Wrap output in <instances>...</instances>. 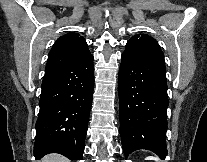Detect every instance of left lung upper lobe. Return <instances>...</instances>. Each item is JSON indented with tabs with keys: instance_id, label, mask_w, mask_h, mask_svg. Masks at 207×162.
<instances>
[{
	"instance_id": "1",
	"label": "left lung upper lobe",
	"mask_w": 207,
	"mask_h": 162,
	"mask_svg": "<svg viewBox=\"0 0 207 162\" xmlns=\"http://www.w3.org/2000/svg\"><path fill=\"white\" fill-rule=\"evenodd\" d=\"M123 54L165 66L164 55L157 41L147 35H135L126 44Z\"/></svg>"
}]
</instances>
